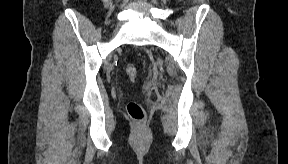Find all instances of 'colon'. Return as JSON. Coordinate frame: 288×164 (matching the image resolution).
Listing matches in <instances>:
<instances>
[{
    "label": "colon",
    "instance_id": "colon-1",
    "mask_svg": "<svg viewBox=\"0 0 288 164\" xmlns=\"http://www.w3.org/2000/svg\"><path fill=\"white\" fill-rule=\"evenodd\" d=\"M125 71L129 79L135 80L137 76V69L133 64H128L125 67ZM128 114L131 120H144V111L139 102L131 101L127 106Z\"/></svg>",
    "mask_w": 288,
    "mask_h": 164
}]
</instances>
